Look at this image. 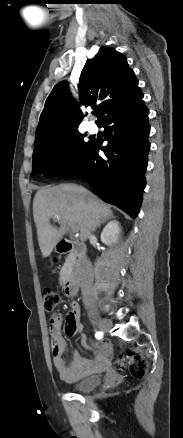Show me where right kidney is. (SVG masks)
<instances>
[{
    "label": "right kidney",
    "mask_w": 183,
    "mask_h": 438,
    "mask_svg": "<svg viewBox=\"0 0 183 438\" xmlns=\"http://www.w3.org/2000/svg\"><path fill=\"white\" fill-rule=\"evenodd\" d=\"M120 232L119 222L116 220L111 221L101 232V241L106 245H112L117 242Z\"/></svg>",
    "instance_id": "1"
}]
</instances>
